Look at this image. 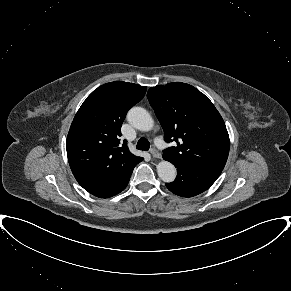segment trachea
<instances>
[{
  "instance_id": "obj_1",
  "label": "trachea",
  "mask_w": 291,
  "mask_h": 291,
  "mask_svg": "<svg viewBox=\"0 0 291 291\" xmlns=\"http://www.w3.org/2000/svg\"><path fill=\"white\" fill-rule=\"evenodd\" d=\"M136 148H137L138 150L148 151L149 148H150V143L148 142L147 139H145V138H140V139L138 140V143H137V145H136Z\"/></svg>"
}]
</instances>
